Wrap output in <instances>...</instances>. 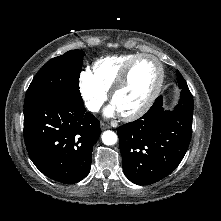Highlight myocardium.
<instances>
[{"label": "myocardium", "mask_w": 221, "mask_h": 221, "mask_svg": "<svg viewBox=\"0 0 221 221\" xmlns=\"http://www.w3.org/2000/svg\"><path fill=\"white\" fill-rule=\"evenodd\" d=\"M144 58L151 59L157 64L158 69H159V78H158V81H157V84H156L154 90L152 91V93L150 94L148 99L145 101V103L140 108H138L137 110H135L133 112L120 113V116L124 120H127V121L136 120V119L142 117L144 114H146L148 112V110L151 108V106L153 105V103L155 102V100L157 99V97L159 96V94L162 90V87H163V83H164V79H165V71H164V67H163V64L161 63V61L156 56L151 55V54H147V53L138 54L133 59H131L124 66V68L121 70L119 76L117 77L115 83L113 84V86L110 90L111 101L113 102L116 94L126 84L129 74H130L132 68L134 67V65L139 60L144 59Z\"/></svg>", "instance_id": "myocardium-1"}]
</instances>
